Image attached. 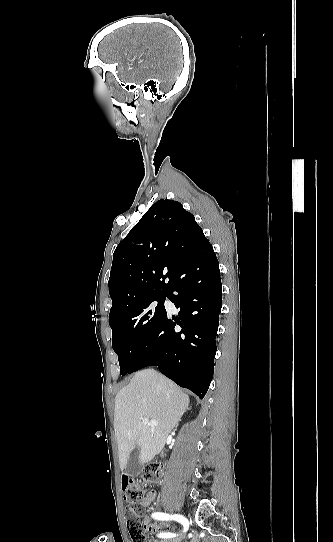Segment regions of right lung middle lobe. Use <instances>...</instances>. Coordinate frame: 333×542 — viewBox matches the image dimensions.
I'll use <instances>...</instances> for the list:
<instances>
[{
  "mask_svg": "<svg viewBox=\"0 0 333 542\" xmlns=\"http://www.w3.org/2000/svg\"><path fill=\"white\" fill-rule=\"evenodd\" d=\"M166 296L133 307L109 320L120 374L130 373L139 356L152 344L159 324L167 316L164 308Z\"/></svg>",
  "mask_w": 333,
  "mask_h": 542,
  "instance_id": "obj_1",
  "label": "right lung middle lobe"
}]
</instances>
